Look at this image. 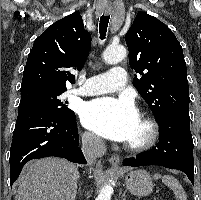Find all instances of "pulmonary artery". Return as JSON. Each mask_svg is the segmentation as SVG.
Returning a JSON list of instances; mask_svg holds the SVG:
<instances>
[{
    "mask_svg": "<svg viewBox=\"0 0 201 200\" xmlns=\"http://www.w3.org/2000/svg\"><path fill=\"white\" fill-rule=\"evenodd\" d=\"M126 84V73L121 67H114L106 73L89 77L84 86L72 90L82 96L105 94L122 89Z\"/></svg>",
    "mask_w": 201,
    "mask_h": 200,
    "instance_id": "pulmonary-artery-1",
    "label": "pulmonary artery"
}]
</instances>
